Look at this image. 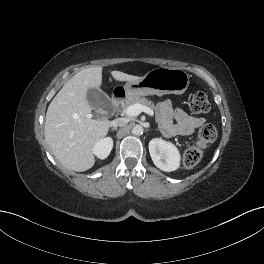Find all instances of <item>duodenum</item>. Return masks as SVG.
I'll list each match as a JSON object with an SVG mask.
<instances>
[{"label": "duodenum", "instance_id": "obj_1", "mask_svg": "<svg viewBox=\"0 0 264 264\" xmlns=\"http://www.w3.org/2000/svg\"><path fill=\"white\" fill-rule=\"evenodd\" d=\"M124 97L125 93L123 91L115 93L111 98V104L113 108H117Z\"/></svg>", "mask_w": 264, "mask_h": 264}]
</instances>
